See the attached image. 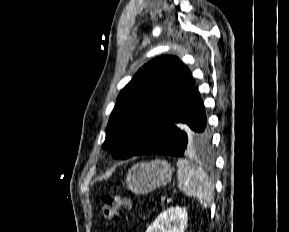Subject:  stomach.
I'll return each mask as SVG.
<instances>
[{
  "label": "stomach",
  "mask_w": 289,
  "mask_h": 232,
  "mask_svg": "<svg viewBox=\"0 0 289 232\" xmlns=\"http://www.w3.org/2000/svg\"><path fill=\"white\" fill-rule=\"evenodd\" d=\"M173 168L163 160L137 163L129 169L126 183L135 194H147L171 181Z\"/></svg>",
  "instance_id": "1"
}]
</instances>
